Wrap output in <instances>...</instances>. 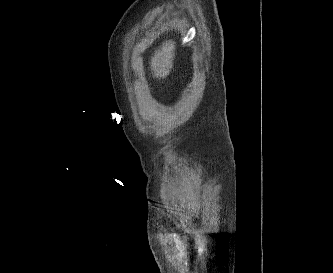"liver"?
I'll use <instances>...</instances> for the list:
<instances>
[{
    "label": "liver",
    "instance_id": "1",
    "mask_svg": "<svg viewBox=\"0 0 333 273\" xmlns=\"http://www.w3.org/2000/svg\"><path fill=\"white\" fill-rule=\"evenodd\" d=\"M175 57V42L166 41L162 46L155 50L154 56L151 58L150 66L153 76L156 78H166L169 75Z\"/></svg>",
    "mask_w": 333,
    "mask_h": 273
}]
</instances>
